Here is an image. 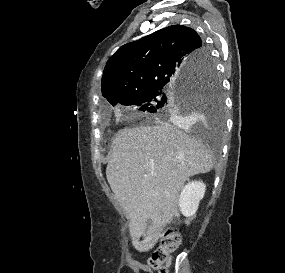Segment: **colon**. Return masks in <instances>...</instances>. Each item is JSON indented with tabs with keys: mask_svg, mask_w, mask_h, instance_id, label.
I'll return each mask as SVG.
<instances>
[{
	"mask_svg": "<svg viewBox=\"0 0 285 273\" xmlns=\"http://www.w3.org/2000/svg\"><path fill=\"white\" fill-rule=\"evenodd\" d=\"M179 244V234L174 231H167L161 239L158 249L148 259L149 266L157 273H167L171 255Z\"/></svg>",
	"mask_w": 285,
	"mask_h": 273,
	"instance_id": "5ec220e1",
	"label": "colon"
}]
</instances>
